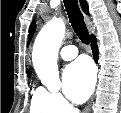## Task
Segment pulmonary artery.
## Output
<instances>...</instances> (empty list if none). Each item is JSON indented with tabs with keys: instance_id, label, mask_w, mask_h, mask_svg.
<instances>
[{
	"instance_id": "pulmonary-artery-1",
	"label": "pulmonary artery",
	"mask_w": 121,
	"mask_h": 113,
	"mask_svg": "<svg viewBox=\"0 0 121 113\" xmlns=\"http://www.w3.org/2000/svg\"><path fill=\"white\" fill-rule=\"evenodd\" d=\"M78 54V50L74 45H66L60 50V57L64 61L74 59Z\"/></svg>"
}]
</instances>
